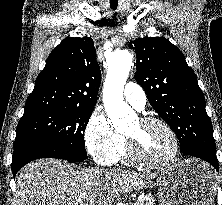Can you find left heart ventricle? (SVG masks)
I'll return each mask as SVG.
<instances>
[{
  "instance_id": "obj_1",
  "label": "left heart ventricle",
  "mask_w": 222,
  "mask_h": 205,
  "mask_svg": "<svg viewBox=\"0 0 222 205\" xmlns=\"http://www.w3.org/2000/svg\"><path fill=\"white\" fill-rule=\"evenodd\" d=\"M126 135L136 141L140 153L147 159H164L173 148L170 135L158 124L144 125L135 120L126 131Z\"/></svg>"
}]
</instances>
